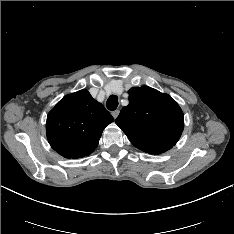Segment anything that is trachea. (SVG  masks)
I'll list each match as a JSON object with an SVG mask.
<instances>
[{"label":"trachea","instance_id":"obj_1","mask_svg":"<svg viewBox=\"0 0 234 234\" xmlns=\"http://www.w3.org/2000/svg\"><path fill=\"white\" fill-rule=\"evenodd\" d=\"M106 106L111 111L115 110L117 108V106H118L117 96L111 95L107 100Z\"/></svg>","mask_w":234,"mask_h":234}]
</instances>
